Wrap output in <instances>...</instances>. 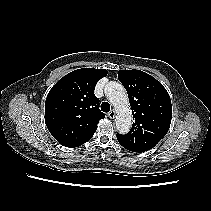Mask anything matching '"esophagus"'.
Here are the masks:
<instances>
[{
	"label": "esophagus",
	"mask_w": 211,
	"mask_h": 211,
	"mask_svg": "<svg viewBox=\"0 0 211 211\" xmlns=\"http://www.w3.org/2000/svg\"><path fill=\"white\" fill-rule=\"evenodd\" d=\"M115 116H116V112H115L114 110H111V111L108 113V117H109L110 119H114Z\"/></svg>",
	"instance_id": "esophagus-1"
}]
</instances>
